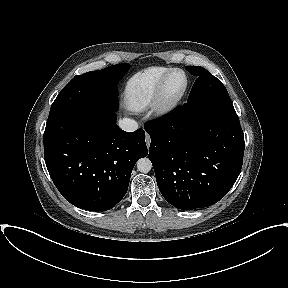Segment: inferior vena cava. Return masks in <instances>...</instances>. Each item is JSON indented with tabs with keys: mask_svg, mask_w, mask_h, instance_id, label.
Listing matches in <instances>:
<instances>
[{
	"mask_svg": "<svg viewBox=\"0 0 288 288\" xmlns=\"http://www.w3.org/2000/svg\"><path fill=\"white\" fill-rule=\"evenodd\" d=\"M118 125L122 130L127 132H133L138 129V123L135 120L129 118H123L119 120Z\"/></svg>",
	"mask_w": 288,
	"mask_h": 288,
	"instance_id": "1",
	"label": "inferior vena cava"
}]
</instances>
